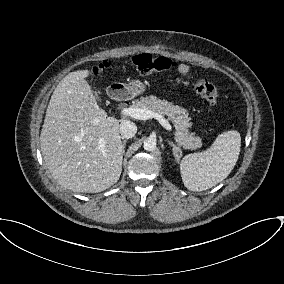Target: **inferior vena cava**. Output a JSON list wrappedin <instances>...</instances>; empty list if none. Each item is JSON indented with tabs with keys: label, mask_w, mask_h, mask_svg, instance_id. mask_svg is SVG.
<instances>
[{
	"label": "inferior vena cava",
	"mask_w": 284,
	"mask_h": 284,
	"mask_svg": "<svg viewBox=\"0 0 284 284\" xmlns=\"http://www.w3.org/2000/svg\"><path fill=\"white\" fill-rule=\"evenodd\" d=\"M120 134L122 135V138H132L136 132H137V126L135 123L129 121V120H124L121 122L120 127Z\"/></svg>",
	"instance_id": "1"
}]
</instances>
